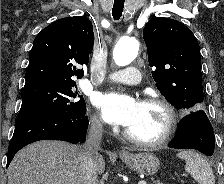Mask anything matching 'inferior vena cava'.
Instances as JSON below:
<instances>
[{"instance_id":"1","label":"inferior vena cava","mask_w":224,"mask_h":184,"mask_svg":"<svg viewBox=\"0 0 224 184\" xmlns=\"http://www.w3.org/2000/svg\"><path fill=\"white\" fill-rule=\"evenodd\" d=\"M102 133L103 124L101 119H91L87 140L79 149L82 184H98L95 159L99 156L98 150Z\"/></svg>"}]
</instances>
